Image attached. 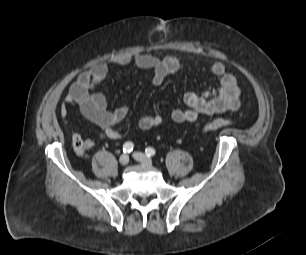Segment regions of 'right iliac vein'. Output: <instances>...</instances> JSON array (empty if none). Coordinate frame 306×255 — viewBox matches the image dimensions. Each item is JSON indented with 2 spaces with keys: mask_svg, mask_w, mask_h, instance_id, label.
<instances>
[{
  "mask_svg": "<svg viewBox=\"0 0 306 255\" xmlns=\"http://www.w3.org/2000/svg\"><path fill=\"white\" fill-rule=\"evenodd\" d=\"M119 163L122 165V166H125L129 163V157L127 154H123L120 156L119 158Z\"/></svg>",
  "mask_w": 306,
  "mask_h": 255,
  "instance_id": "63e3f726",
  "label": "right iliac vein"
}]
</instances>
